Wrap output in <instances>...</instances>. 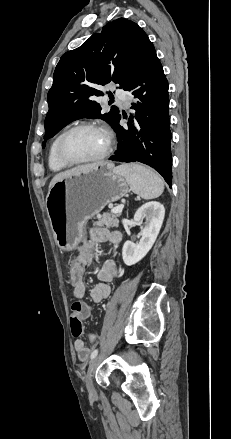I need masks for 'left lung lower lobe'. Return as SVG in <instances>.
<instances>
[{
	"mask_svg": "<svg viewBox=\"0 0 231 439\" xmlns=\"http://www.w3.org/2000/svg\"><path fill=\"white\" fill-rule=\"evenodd\" d=\"M124 90L133 98L135 119L130 116L128 130L118 119L115 131L118 147L109 159L120 162H141L157 170L170 185L172 183L171 132L169 118L168 82L157 58L154 46L150 47Z\"/></svg>",
	"mask_w": 231,
	"mask_h": 439,
	"instance_id": "0a47b994",
	"label": "left lung lower lobe"
}]
</instances>
